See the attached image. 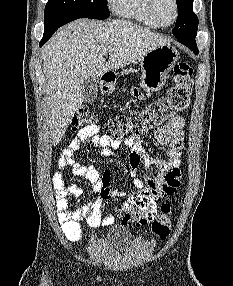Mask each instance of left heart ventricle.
Returning a JSON list of instances; mask_svg holds the SVG:
<instances>
[{"instance_id": "left-heart-ventricle-1", "label": "left heart ventricle", "mask_w": 233, "mask_h": 286, "mask_svg": "<svg viewBox=\"0 0 233 286\" xmlns=\"http://www.w3.org/2000/svg\"><path fill=\"white\" fill-rule=\"evenodd\" d=\"M156 15L160 22L170 23L175 14L174 6L171 0H156Z\"/></svg>"}]
</instances>
